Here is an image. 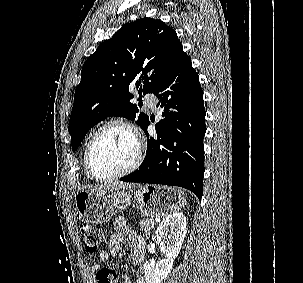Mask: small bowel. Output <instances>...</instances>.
<instances>
[{
  "instance_id": "c3829d8e",
  "label": "small bowel",
  "mask_w": 303,
  "mask_h": 283,
  "mask_svg": "<svg viewBox=\"0 0 303 283\" xmlns=\"http://www.w3.org/2000/svg\"><path fill=\"white\" fill-rule=\"evenodd\" d=\"M128 241L132 247L131 263L133 266H140L144 260L145 241L126 223L122 217L114 220V233L111 235L106 250L99 253L101 262H106L111 256H118ZM101 269L99 265L94 266L93 271ZM122 283H132L128 276H124ZM136 283H144L142 279H137Z\"/></svg>"
}]
</instances>
